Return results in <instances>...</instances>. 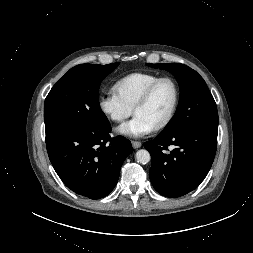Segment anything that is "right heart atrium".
Instances as JSON below:
<instances>
[{"mask_svg": "<svg viewBox=\"0 0 253 253\" xmlns=\"http://www.w3.org/2000/svg\"><path fill=\"white\" fill-rule=\"evenodd\" d=\"M100 111L110 120L122 123L132 114V107L128 106L115 91H109L98 97Z\"/></svg>", "mask_w": 253, "mask_h": 253, "instance_id": "d8ad5b80", "label": "right heart atrium"}]
</instances>
